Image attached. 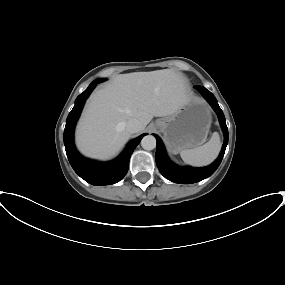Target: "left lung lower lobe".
<instances>
[{
	"mask_svg": "<svg viewBox=\"0 0 285 285\" xmlns=\"http://www.w3.org/2000/svg\"><path fill=\"white\" fill-rule=\"evenodd\" d=\"M195 88L199 90V92L204 96V98L216 111L224 133V143L219 157L213 164L204 168L179 167L169 160L161 139L157 135H155L157 140L156 164L159 171L168 180L180 184L196 183L211 176L220 165L228 143V129L226 126L225 117L223 111L218 105L215 96L205 87L195 86Z\"/></svg>",
	"mask_w": 285,
	"mask_h": 285,
	"instance_id": "left-lung-lower-lobe-1",
	"label": "left lung lower lobe"
}]
</instances>
